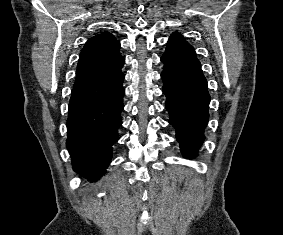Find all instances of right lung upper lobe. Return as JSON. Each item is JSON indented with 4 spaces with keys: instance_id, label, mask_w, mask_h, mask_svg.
Wrapping results in <instances>:
<instances>
[{
    "instance_id": "obj_1",
    "label": "right lung upper lobe",
    "mask_w": 283,
    "mask_h": 235,
    "mask_svg": "<svg viewBox=\"0 0 283 235\" xmlns=\"http://www.w3.org/2000/svg\"><path fill=\"white\" fill-rule=\"evenodd\" d=\"M119 48L120 43L109 32L90 38L80 53L74 86L119 72L124 64Z\"/></svg>"
}]
</instances>
